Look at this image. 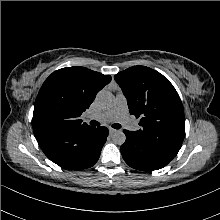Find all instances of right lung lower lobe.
Here are the masks:
<instances>
[{"label":"right lung lower lobe","mask_w":220,"mask_h":220,"mask_svg":"<svg viewBox=\"0 0 220 220\" xmlns=\"http://www.w3.org/2000/svg\"><path fill=\"white\" fill-rule=\"evenodd\" d=\"M107 136L106 127H93L88 131L67 136L63 141L58 140L40 147L57 165L65 169L81 170L97 162Z\"/></svg>","instance_id":"right-lung-lower-lobe-1"}]
</instances>
